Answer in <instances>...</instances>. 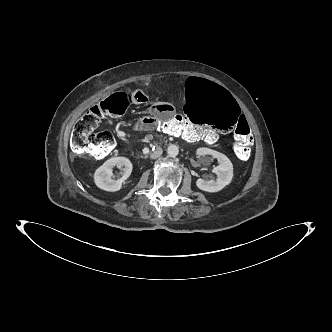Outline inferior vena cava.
I'll return each mask as SVG.
<instances>
[{"label":"inferior vena cava","instance_id":"inferior-vena-cava-1","mask_svg":"<svg viewBox=\"0 0 332 332\" xmlns=\"http://www.w3.org/2000/svg\"><path fill=\"white\" fill-rule=\"evenodd\" d=\"M163 153L162 148L158 147L154 152L151 153L150 158L151 159H156L160 157Z\"/></svg>","mask_w":332,"mask_h":332}]
</instances>
